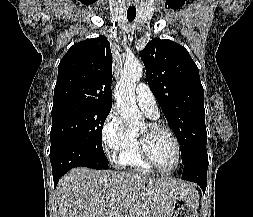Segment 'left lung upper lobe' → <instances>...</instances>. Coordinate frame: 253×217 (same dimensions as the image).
I'll use <instances>...</instances> for the list:
<instances>
[{
	"instance_id": "5c2ea615",
	"label": "left lung upper lobe",
	"mask_w": 253,
	"mask_h": 217,
	"mask_svg": "<svg viewBox=\"0 0 253 217\" xmlns=\"http://www.w3.org/2000/svg\"><path fill=\"white\" fill-rule=\"evenodd\" d=\"M148 84L173 129L182 163L206 151L204 90L188 51L171 40L150 41L141 53Z\"/></svg>"
}]
</instances>
